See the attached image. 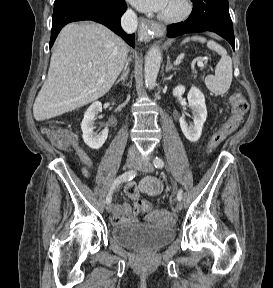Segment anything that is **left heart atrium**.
<instances>
[{
	"label": "left heart atrium",
	"instance_id": "obj_1",
	"mask_svg": "<svg viewBox=\"0 0 273 288\" xmlns=\"http://www.w3.org/2000/svg\"><path fill=\"white\" fill-rule=\"evenodd\" d=\"M143 12H162L169 0H129Z\"/></svg>",
	"mask_w": 273,
	"mask_h": 288
}]
</instances>
